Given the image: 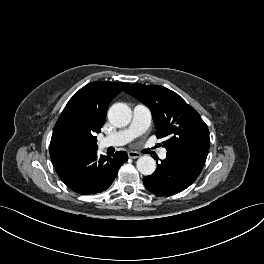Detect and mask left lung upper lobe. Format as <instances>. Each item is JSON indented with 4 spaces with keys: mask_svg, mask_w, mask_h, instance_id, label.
Returning <instances> with one entry per match:
<instances>
[{
    "mask_svg": "<svg viewBox=\"0 0 264 264\" xmlns=\"http://www.w3.org/2000/svg\"><path fill=\"white\" fill-rule=\"evenodd\" d=\"M125 92L150 108L157 138H168L163 142L167 152L183 151L206 161L210 144L207 125L178 94L144 84H132Z\"/></svg>",
    "mask_w": 264,
    "mask_h": 264,
    "instance_id": "obj_1",
    "label": "left lung upper lobe"
}]
</instances>
